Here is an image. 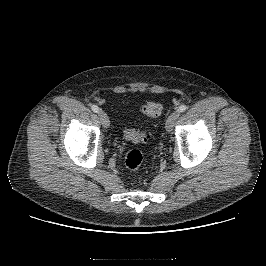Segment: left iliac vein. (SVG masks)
I'll return each mask as SVG.
<instances>
[{"label":"left iliac vein","mask_w":266,"mask_h":266,"mask_svg":"<svg viewBox=\"0 0 266 266\" xmlns=\"http://www.w3.org/2000/svg\"><path fill=\"white\" fill-rule=\"evenodd\" d=\"M179 117V112L174 111L173 113L170 114V116L166 120V130L170 132L174 126L175 120Z\"/></svg>","instance_id":"1"}]
</instances>
